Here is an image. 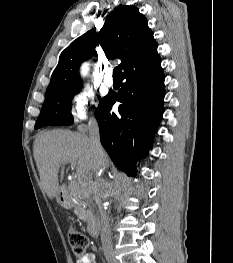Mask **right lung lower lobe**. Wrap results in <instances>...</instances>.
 <instances>
[{"instance_id":"right-lung-lower-lobe-1","label":"right lung lower lobe","mask_w":233,"mask_h":263,"mask_svg":"<svg viewBox=\"0 0 233 263\" xmlns=\"http://www.w3.org/2000/svg\"><path fill=\"white\" fill-rule=\"evenodd\" d=\"M161 60L123 75L118 95H107L96 110L100 140L114 164L136 176V163L147 156L163 114L165 96ZM119 101V113L111 112Z\"/></svg>"}]
</instances>
